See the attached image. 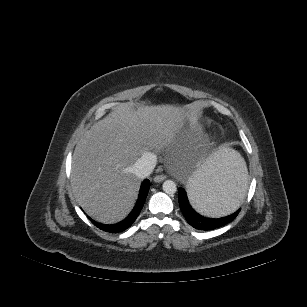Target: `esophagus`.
I'll use <instances>...</instances> for the list:
<instances>
[{"mask_svg": "<svg viewBox=\"0 0 307 307\" xmlns=\"http://www.w3.org/2000/svg\"><path fill=\"white\" fill-rule=\"evenodd\" d=\"M165 179H166L165 175H156L153 180L156 183H160V182L164 181Z\"/></svg>", "mask_w": 307, "mask_h": 307, "instance_id": "34e87169", "label": "esophagus"}]
</instances>
